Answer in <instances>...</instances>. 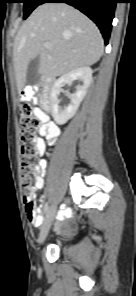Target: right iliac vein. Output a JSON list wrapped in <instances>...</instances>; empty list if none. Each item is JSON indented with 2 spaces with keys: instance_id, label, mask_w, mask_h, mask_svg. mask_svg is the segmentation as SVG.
Segmentation results:
<instances>
[{
  "instance_id": "1",
  "label": "right iliac vein",
  "mask_w": 136,
  "mask_h": 296,
  "mask_svg": "<svg viewBox=\"0 0 136 296\" xmlns=\"http://www.w3.org/2000/svg\"><path fill=\"white\" fill-rule=\"evenodd\" d=\"M47 213L48 214L46 215V218H45L44 223L41 227L40 235L38 238L39 245L43 244L45 238L47 237V235L49 233L50 227L54 221L55 214H56L55 207H51Z\"/></svg>"
}]
</instances>
